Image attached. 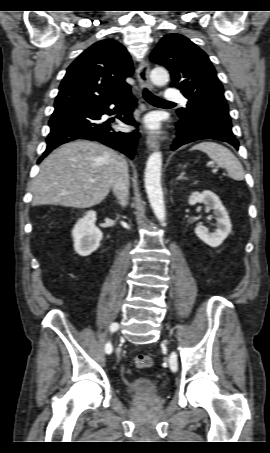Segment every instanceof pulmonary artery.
<instances>
[{"label": "pulmonary artery", "instance_id": "pulmonary-artery-1", "mask_svg": "<svg viewBox=\"0 0 270 453\" xmlns=\"http://www.w3.org/2000/svg\"><path fill=\"white\" fill-rule=\"evenodd\" d=\"M166 100L167 101H183L184 97L179 90L169 88L166 92Z\"/></svg>", "mask_w": 270, "mask_h": 453}]
</instances>
